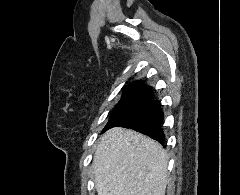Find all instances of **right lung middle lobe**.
<instances>
[{"label": "right lung middle lobe", "mask_w": 240, "mask_h": 195, "mask_svg": "<svg viewBox=\"0 0 240 195\" xmlns=\"http://www.w3.org/2000/svg\"><path fill=\"white\" fill-rule=\"evenodd\" d=\"M147 97L148 95H122L121 100L113 110L111 117L103 131L114 126L130 113L141 107Z\"/></svg>", "instance_id": "right-lung-middle-lobe-1"}]
</instances>
